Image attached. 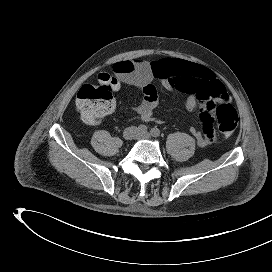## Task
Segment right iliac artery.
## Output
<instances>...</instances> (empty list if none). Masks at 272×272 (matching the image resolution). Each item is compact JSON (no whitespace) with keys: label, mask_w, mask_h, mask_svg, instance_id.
<instances>
[{"label":"right iliac artery","mask_w":272,"mask_h":272,"mask_svg":"<svg viewBox=\"0 0 272 272\" xmlns=\"http://www.w3.org/2000/svg\"><path fill=\"white\" fill-rule=\"evenodd\" d=\"M137 129H138V131L140 133H146L147 132V126L143 125V124L139 125Z\"/></svg>","instance_id":"obj_1"}]
</instances>
